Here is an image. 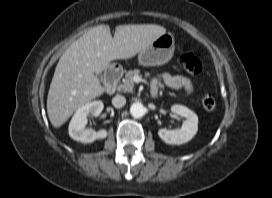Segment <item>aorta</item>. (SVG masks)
<instances>
[{
  "mask_svg": "<svg viewBox=\"0 0 272 198\" xmlns=\"http://www.w3.org/2000/svg\"><path fill=\"white\" fill-rule=\"evenodd\" d=\"M145 107L141 103H133L130 107V113L134 118H141L145 115Z\"/></svg>",
  "mask_w": 272,
  "mask_h": 198,
  "instance_id": "aorta-1",
  "label": "aorta"
}]
</instances>
